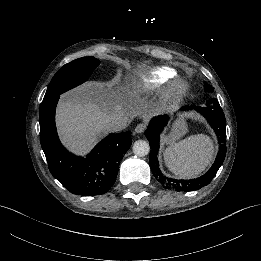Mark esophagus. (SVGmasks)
I'll return each mask as SVG.
<instances>
[{"instance_id":"34e87169","label":"esophagus","mask_w":261,"mask_h":261,"mask_svg":"<svg viewBox=\"0 0 261 261\" xmlns=\"http://www.w3.org/2000/svg\"><path fill=\"white\" fill-rule=\"evenodd\" d=\"M146 128H147V125H146V124L140 123V124H138V125L136 126L135 132H136L137 134H141V133H143V132L146 130Z\"/></svg>"}]
</instances>
